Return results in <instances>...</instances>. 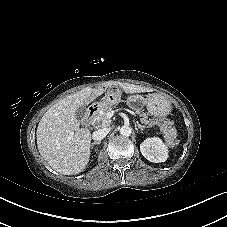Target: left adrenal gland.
I'll return each mask as SVG.
<instances>
[{
    "label": "left adrenal gland",
    "mask_w": 227,
    "mask_h": 227,
    "mask_svg": "<svg viewBox=\"0 0 227 227\" xmlns=\"http://www.w3.org/2000/svg\"><path fill=\"white\" fill-rule=\"evenodd\" d=\"M135 124H137V127H138L141 131H143L145 128H148V126L140 125L138 122L135 123Z\"/></svg>",
    "instance_id": "a2214340"
}]
</instances>
